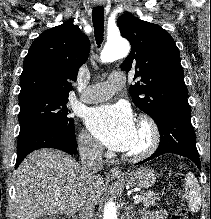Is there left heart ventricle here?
Segmentation results:
<instances>
[{
    "instance_id": "left-heart-ventricle-1",
    "label": "left heart ventricle",
    "mask_w": 211,
    "mask_h": 219,
    "mask_svg": "<svg viewBox=\"0 0 211 219\" xmlns=\"http://www.w3.org/2000/svg\"><path fill=\"white\" fill-rule=\"evenodd\" d=\"M147 142V133L146 131L137 126L136 137L131 146V148L127 152H133L141 149Z\"/></svg>"
}]
</instances>
